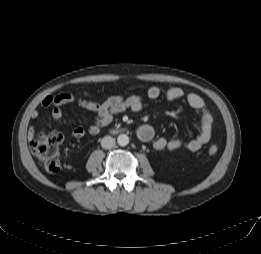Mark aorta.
<instances>
[{
    "label": "aorta",
    "mask_w": 261,
    "mask_h": 254,
    "mask_svg": "<svg viewBox=\"0 0 261 254\" xmlns=\"http://www.w3.org/2000/svg\"><path fill=\"white\" fill-rule=\"evenodd\" d=\"M117 142L120 146H126L129 143V137L126 134H120L117 137Z\"/></svg>",
    "instance_id": "1"
}]
</instances>
